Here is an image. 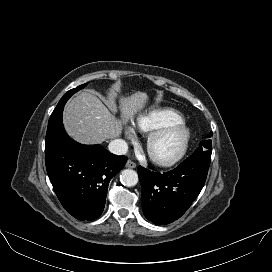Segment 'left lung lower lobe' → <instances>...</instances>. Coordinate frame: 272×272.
Returning a JSON list of instances; mask_svg holds the SVG:
<instances>
[{"mask_svg":"<svg viewBox=\"0 0 272 272\" xmlns=\"http://www.w3.org/2000/svg\"><path fill=\"white\" fill-rule=\"evenodd\" d=\"M211 153L212 149L193 154L165 173L138 167L143 213L149 221L169 224L186 212L204 186Z\"/></svg>","mask_w":272,"mask_h":272,"instance_id":"left-lung-lower-lobe-1","label":"left lung lower lobe"}]
</instances>
